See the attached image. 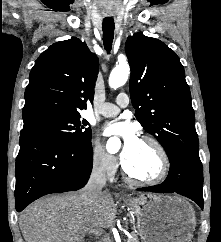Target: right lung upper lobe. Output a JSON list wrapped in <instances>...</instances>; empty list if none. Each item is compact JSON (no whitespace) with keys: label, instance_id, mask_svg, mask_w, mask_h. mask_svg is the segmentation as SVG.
I'll list each match as a JSON object with an SVG mask.
<instances>
[{"label":"right lung upper lobe","instance_id":"cb5924a9","mask_svg":"<svg viewBox=\"0 0 221 242\" xmlns=\"http://www.w3.org/2000/svg\"><path fill=\"white\" fill-rule=\"evenodd\" d=\"M98 65V58L78 38L52 44L31 70L24 125L80 114L93 99Z\"/></svg>","mask_w":221,"mask_h":242}]
</instances>
